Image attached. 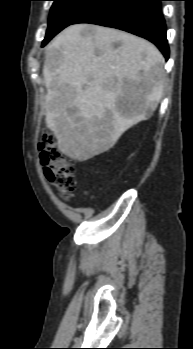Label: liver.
<instances>
[{
    "label": "liver",
    "instance_id": "liver-1",
    "mask_svg": "<svg viewBox=\"0 0 193 349\" xmlns=\"http://www.w3.org/2000/svg\"><path fill=\"white\" fill-rule=\"evenodd\" d=\"M164 62L152 43L117 29L76 24L58 34L46 47L43 77L45 121L60 151L86 161L150 117L162 97Z\"/></svg>",
    "mask_w": 193,
    "mask_h": 349
}]
</instances>
